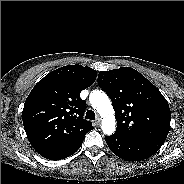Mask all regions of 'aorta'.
<instances>
[{"mask_svg": "<svg viewBox=\"0 0 184 184\" xmlns=\"http://www.w3.org/2000/svg\"><path fill=\"white\" fill-rule=\"evenodd\" d=\"M90 103L102 116V130L105 134L111 135L116 128L113 107L109 97L100 90H94L90 94Z\"/></svg>", "mask_w": 184, "mask_h": 184, "instance_id": "762f6f07", "label": "aorta"}]
</instances>
